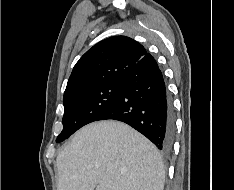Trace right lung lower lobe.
Instances as JSON below:
<instances>
[{
	"instance_id": "1",
	"label": "right lung lower lobe",
	"mask_w": 234,
	"mask_h": 190,
	"mask_svg": "<svg viewBox=\"0 0 234 190\" xmlns=\"http://www.w3.org/2000/svg\"><path fill=\"white\" fill-rule=\"evenodd\" d=\"M113 119L138 130L158 149L172 146L175 120L161 70L147 53L121 79L116 101L97 121Z\"/></svg>"
}]
</instances>
